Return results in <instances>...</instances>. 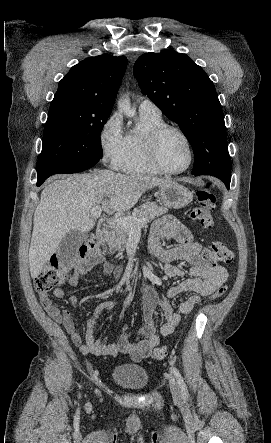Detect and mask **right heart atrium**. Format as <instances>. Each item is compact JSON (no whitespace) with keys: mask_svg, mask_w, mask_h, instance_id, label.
<instances>
[{"mask_svg":"<svg viewBox=\"0 0 271 443\" xmlns=\"http://www.w3.org/2000/svg\"><path fill=\"white\" fill-rule=\"evenodd\" d=\"M122 125L120 112L114 111L103 121L98 132V141L102 155L115 166H119L124 153Z\"/></svg>","mask_w":271,"mask_h":443,"instance_id":"right-heart-atrium-1","label":"right heart atrium"}]
</instances>
